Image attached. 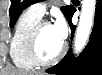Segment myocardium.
<instances>
[{
  "label": "myocardium",
  "instance_id": "myocardium-1",
  "mask_svg": "<svg viewBox=\"0 0 102 75\" xmlns=\"http://www.w3.org/2000/svg\"><path fill=\"white\" fill-rule=\"evenodd\" d=\"M52 25L49 20H40L32 29L28 41L27 52L29 58L36 66H49L57 62L66 52V44L63 42L61 50L51 59L45 60L39 55L38 51V38L45 26Z\"/></svg>",
  "mask_w": 102,
  "mask_h": 75
}]
</instances>
